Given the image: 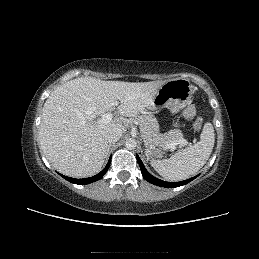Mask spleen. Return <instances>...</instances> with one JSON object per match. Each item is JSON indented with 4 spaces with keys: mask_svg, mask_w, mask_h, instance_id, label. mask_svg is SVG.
I'll list each match as a JSON object with an SVG mask.
<instances>
[{
    "mask_svg": "<svg viewBox=\"0 0 259 259\" xmlns=\"http://www.w3.org/2000/svg\"><path fill=\"white\" fill-rule=\"evenodd\" d=\"M214 142V128L211 123H206L200 135V141L168 159L152 160L151 166L168 181L185 180L204 166L211 155Z\"/></svg>",
    "mask_w": 259,
    "mask_h": 259,
    "instance_id": "1",
    "label": "spleen"
}]
</instances>
